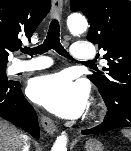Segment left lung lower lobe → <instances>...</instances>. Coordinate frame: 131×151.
<instances>
[{
  "label": "left lung lower lobe",
  "instance_id": "1",
  "mask_svg": "<svg viewBox=\"0 0 131 151\" xmlns=\"http://www.w3.org/2000/svg\"><path fill=\"white\" fill-rule=\"evenodd\" d=\"M104 102L108 109L104 121L92 129L82 131V134H96L119 127H131L130 100L121 99L118 102L113 103L111 100L104 99Z\"/></svg>",
  "mask_w": 131,
  "mask_h": 151
}]
</instances>
